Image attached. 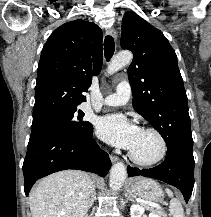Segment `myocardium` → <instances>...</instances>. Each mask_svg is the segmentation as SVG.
<instances>
[{
    "instance_id": "f54148a6",
    "label": "myocardium",
    "mask_w": 211,
    "mask_h": 217,
    "mask_svg": "<svg viewBox=\"0 0 211 217\" xmlns=\"http://www.w3.org/2000/svg\"><path fill=\"white\" fill-rule=\"evenodd\" d=\"M142 131L150 132L156 135V137L159 139L160 144H161V151L159 155L152 160H141L137 158L131 151H129V158L131 159L132 162L140 166L150 167V166L157 165L160 162H162L167 155V151H168L167 142L163 134L154 127H145L142 129Z\"/></svg>"
}]
</instances>
